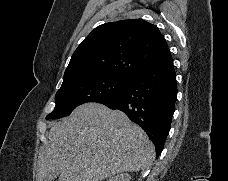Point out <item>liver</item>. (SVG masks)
I'll list each match as a JSON object with an SVG mask.
<instances>
[{
	"instance_id": "1",
	"label": "liver",
	"mask_w": 228,
	"mask_h": 181,
	"mask_svg": "<svg viewBox=\"0 0 228 181\" xmlns=\"http://www.w3.org/2000/svg\"><path fill=\"white\" fill-rule=\"evenodd\" d=\"M41 149L37 181L51 173L60 181H104L125 171H142L154 161V145L122 111L84 103L52 123Z\"/></svg>"
}]
</instances>
